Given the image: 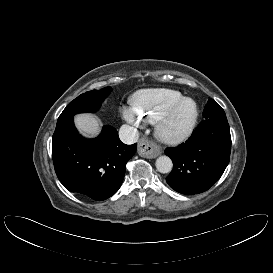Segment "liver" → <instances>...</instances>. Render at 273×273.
<instances>
[{
	"mask_svg": "<svg viewBox=\"0 0 273 273\" xmlns=\"http://www.w3.org/2000/svg\"><path fill=\"white\" fill-rule=\"evenodd\" d=\"M77 128L84 134L97 136L100 132L98 120L90 114H79L75 118Z\"/></svg>",
	"mask_w": 273,
	"mask_h": 273,
	"instance_id": "1",
	"label": "liver"
}]
</instances>
